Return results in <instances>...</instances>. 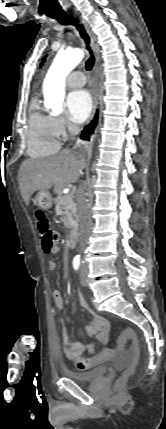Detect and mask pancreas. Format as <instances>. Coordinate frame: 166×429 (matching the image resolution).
Wrapping results in <instances>:
<instances>
[{"label": "pancreas", "instance_id": "obj_1", "mask_svg": "<svg viewBox=\"0 0 166 429\" xmlns=\"http://www.w3.org/2000/svg\"><path fill=\"white\" fill-rule=\"evenodd\" d=\"M55 211L57 215L64 216L67 219L71 230L77 228V209L72 197L68 199L67 195H65L58 199Z\"/></svg>", "mask_w": 166, "mask_h": 429}]
</instances>
